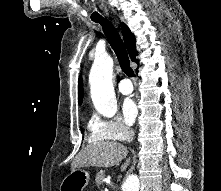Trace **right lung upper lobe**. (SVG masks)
<instances>
[{
    "label": "right lung upper lobe",
    "mask_w": 221,
    "mask_h": 191,
    "mask_svg": "<svg viewBox=\"0 0 221 191\" xmlns=\"http://www.w3.org/2000/svg\"><path fill=\"white\" fill-rule=\"evenodd\" d=\"M121 27H122V31H123L124 43L126 45L128 53L130 55V58L132 61L138 63L137 59L135 58V55L137 54L136 48H135V37L130 32V30L126 24L122 23ZM78 95H79V104H81L82 99H83V82H82L81 77L79 78V81H78Z\"/></svg>",
    "instance_id": "obj_1"
}]
</instances>
